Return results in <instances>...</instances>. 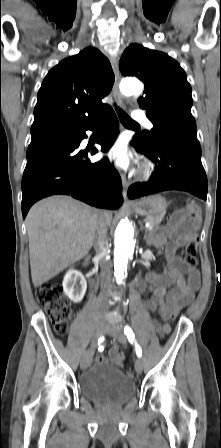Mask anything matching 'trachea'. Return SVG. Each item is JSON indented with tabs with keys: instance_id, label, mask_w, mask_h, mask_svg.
Returning a JSON list of instances; mask_svg holds the SVG:
<instances>
[{
	"instance_id": "trachea-1",
	"label": "trachea",
	"mask_w": 221,
	"mask_h": 448,
	"mask_svg": "<svg viewBox=\"0 0 221 448\" xmlns=\"http://www.w3.org/2000/svg\"><path fill=\"white\" fill-rule=\"evenodd\" d=\"M115 109L119 116L120 121L124 126L139 127V124L134 122L122 109H120L118 106H115Z\"/></svg>"
}]
</instances>
